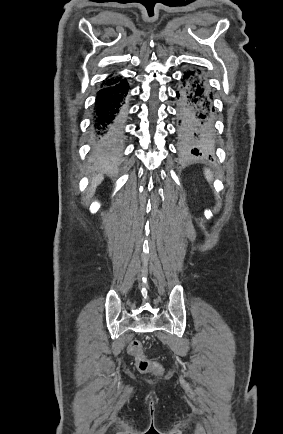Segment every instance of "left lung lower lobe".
Here are the masks:
<instances>
[{
  "label": "left lung lower lobe",
  "instance_id": "1",
  "mask_svg": "<svg viewBox=\"0 0 283 434\" xmlns=\"http://www.w3.org/2000/svg\"><path fill=\"white\" fill-rule=\"evenodd\" d=\"M178 138L194 155L213 146V96L205 79L194 71L184 72L176 91Z\"/></svg>",
  "mask_w": 283,
  "mask_h": 434
}]
</instances>
